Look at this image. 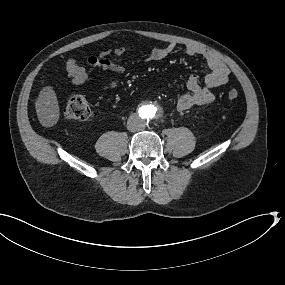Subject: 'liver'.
<instances>
[{"instance_id":"6515ba94","label":"liver","mask_w":285,"mask_h":285,"mask_svg":"<svg viewBox=\"0 0 285 285\" xmlns=\"http://www.w3.org/2000/svg\"><path fill=\"white\" fill-rule=\"evenodd\" d=\"M36 115L41 126L51 128L60 118V106L57 94L52 85L41 88L35 101Z\"/></svg>"}]
</instances>
